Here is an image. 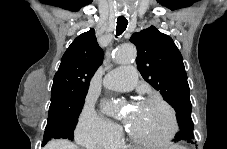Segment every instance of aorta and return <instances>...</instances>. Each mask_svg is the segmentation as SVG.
<instances>
[{"instance_id":"obj_1","label":"aorta","mask_w":227,"mask_h":149,"mask_svg":"<svg viewBox=\"0 0 227 149\" xmlns=\"http://www.w3.org/2000/svg\"><path fill=\"white\" fill-rule=\"evenodd\" d=\"M136 58V50L132 46H122L118 48V50L115 53V59L119 63H131L135 60ZM115 106L114 103L111 102L108 104V106L104 109V112L107 114H114L115 112Z\"/></svg>"}]
</instances>
